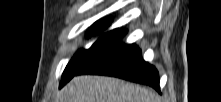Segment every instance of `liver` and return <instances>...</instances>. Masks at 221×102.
Listing matches in <instances>:
<instances>
[{"label":"liver","instance_id":"obj_1","mask_svg":"<svg viewBox=\"0 0 221 102\" xmlns=\"http://www.w3.org/2000/svg\"><path fill=\"white\" fill-rule=\"evenodd\" d=\"M64 102H159L150 89L123 80L83 75L74 77L63 89Z\"/></svg>","mask_w":221,"mask_h":102}]
</instances>
